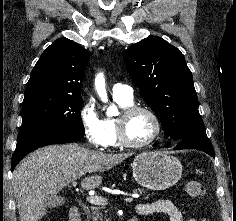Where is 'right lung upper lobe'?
<instances>
[{
    "mask_svg": "<svg viewBox=\"0 0 236 221\" xmlns=\"http://www.w3.org/2000/svg\"><path fill=\"white\" fill-rule=\"evenodd\" d=\"M89 53L67 38L55 40L32 69L25 95L50 92L80 95Z\"/></svg>",
    "mask_w": 236,
    "mask_h": 221,
    "instance_id": "right-lung-upper-lobe-1",
    "label": "right lung upper lobe"
}]
</instances>
